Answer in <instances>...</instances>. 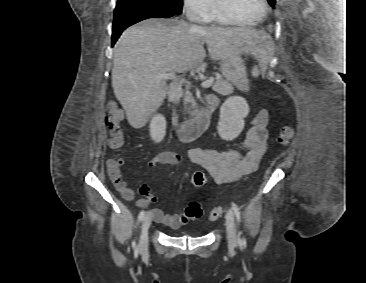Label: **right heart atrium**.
I'll use <instances>...</instances> for the list:
<instances>
[{
    "instance_id": "d8ad5b80",
    "label": "right heart atrium",
    "mask_w": 366,
    "mask_h": 283,
    "mask_svg": "<svg viewBox=\"0 0 366 283\" xmlns=\"http://www.w3.org/2000/svg\"><path fill=\"white\" fill-rule=\"evenodd\" d=\"M183 7L189 17L201 20L208 14L211 0H183Z\"/></svg>"
}]
</instances>
